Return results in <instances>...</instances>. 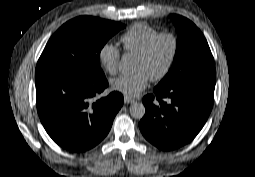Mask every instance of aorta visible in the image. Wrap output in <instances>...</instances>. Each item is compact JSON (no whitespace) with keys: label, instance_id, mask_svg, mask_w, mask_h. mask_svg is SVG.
I'll return each mask as SVG.
<instances>
[{"label":"aorta","instance_id":"1","mask_svg":"<svg viewBox=\"0 0 255 177\" xmlns=\"http://www.w3.org/2000/svg\"><path fill=\"white\" fill-rule=\"evenodd\" d=\"M130 57L126 54H124L121 57L120 63H119V69L121 71H126L130 68ZM129 112L130 115L134 118V119H142L145 115V106L143 105V103H139V102H134L130 105L129 108Z\"/></svg>","mask_w":255,"mask_h":177}]
</instances>
